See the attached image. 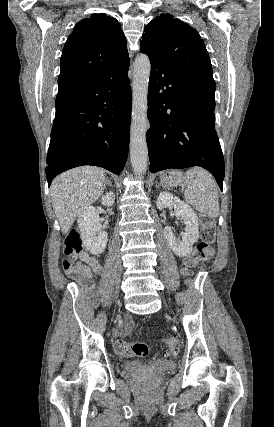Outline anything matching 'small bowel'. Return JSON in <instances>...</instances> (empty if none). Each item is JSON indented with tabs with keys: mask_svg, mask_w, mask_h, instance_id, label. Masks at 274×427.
<instances>
[{
	"mask_svg": "<svg viewBox=\"0 0 274 427\" xmlns=\"http://www.w3.org/2000/svg\"><path fill=\"white\" fill-rule=\"evenodd\" d=\"M79 258L80 262L78 263V267L84 277L91 279L93 275H99L101 273V262L92 255H90L87 251H82L79 255ZM131 327L132 321L127 320L122 334H128L130 332Z\"/></svg>",
	"mask_w": 274,
	"mask_h": 427,
	"instance_id": "1",
	"label": "small bowel"
}]
</instances>
